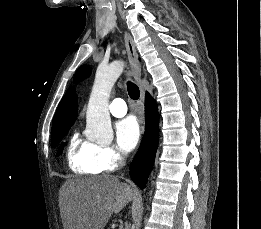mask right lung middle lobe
Returning <instances> with one entry per match:
<instances>
[{"instance_id": "right-lung-middle-lobe-1", "label": "right lung middle lobe", "mask_w": 261, "mask_h": 229, "mask_svg": "<svg viewBox=\"0 0 261 229\" xmlns=\"http://www.w3.org/2000/svg\"><path fill=\"white\" fill-rule=\"evenodd\" d=\"M71 126L72 123L52 126V147L57 145L62 140V138L66 135V133L68 132ZM63 148H64V143L60 145L56 157L61 155Z\"/></svg>"}]
</instances>
